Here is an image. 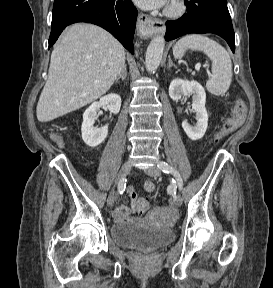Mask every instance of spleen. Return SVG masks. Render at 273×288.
<instances>
[{
    "mask_svg": "<svg viewBox=\"0 0 273 288\" xmlns=\"http://www.w3.org/2000/svg\"><path fill=\"white\" fill-rule=\"evenodd\" d=\"M188 49L202 51L212 61V75L206 83L207 90L213 95L225 94L232 80V62L226 49L207 36L191 34L177 41L173 55L180 60Z\"/></svg>",
    "mask_w": 273,
    "mask_h": 288,
    "instance_id": "spleen-1",
    "label": "spleen"
}]
</instances>
